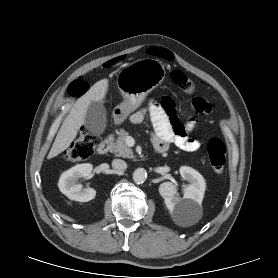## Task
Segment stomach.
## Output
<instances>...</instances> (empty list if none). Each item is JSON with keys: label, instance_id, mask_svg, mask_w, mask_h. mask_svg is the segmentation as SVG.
I'll return each mask as SVG.
<instances>
[{"label": "stomach", "instance_id": "obj_1", "mask_svg": "<svg viewBox=\"0 0 278 278\" xmlns=\"http://www.w3.org/2000/svg\"><path fill=\"white\" fill-rule=\"evenodd\" d=\"M165 75L162 62L153 58L140 59L124 67L117 75V86L124 101L113 109L115 123H122L139 108L147 95L162 84Z\"/></svg>", "mask_w": 278, "mask_h": 278}]
</instances>
